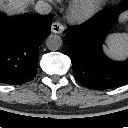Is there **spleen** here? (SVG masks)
Listing matches in <instances>:
<instances>
[{
  "label": "spleen",
  "instance_id": "obj_1",
  "mask_svg": "<svg viewBox=\"0 0 128 128\" xmlns=\"http://www.w3.org/2000/svg\"><path fill=\"white\" fill-rule=\"evenodd\" d=\"M106 52L115 58L128 55V33L110 34L106 39Z\"/></svg>",
  "mask_w": 128,
  "mask_h": 128
}]
</instances>
